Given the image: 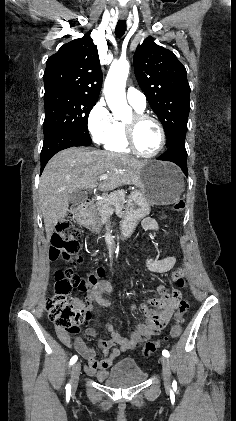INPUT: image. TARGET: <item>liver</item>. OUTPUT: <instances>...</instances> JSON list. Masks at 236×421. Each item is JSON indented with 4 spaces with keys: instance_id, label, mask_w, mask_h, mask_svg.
Masks as SVG:
<instances>
[{
    "instance_id": "liver-1",
    "label": "liver",
    "mask_w": 236,
    "mask_h": 421,
    "mask_svg": "<svg viewBox=\"0 0 236 421\" xmlns=\"http://www.w3.org/2000/svg\"><path fill=\"white\" fill-rule=\"evenodd\" d=\"M144 160L117 152L92 148H64L47 162L39 180V200L46 239L49 241L59 221L69 211V196L77 188L113 190L120 184H138ZM101 174L108 178L98 180Z\"/></svg>"
}]
</instances>
